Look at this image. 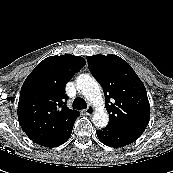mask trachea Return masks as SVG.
<instances>
[{"label":"trachea","instance_id":"obj_1","mask_svg":"<svg viewBox=\"0 0 173 173\" xmlns=\"http://www.w3.org/2000/svg\"><path fill=\"white\" fill-rule=\"evenodd\" d=\"M73 108L74 109H85V108H87V104L83 98L76 97L73 101Z\"/></svg>","mask_w":173,"mask_h":173}]
</instances>
